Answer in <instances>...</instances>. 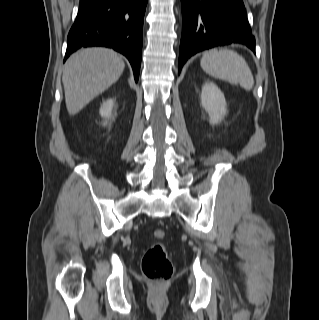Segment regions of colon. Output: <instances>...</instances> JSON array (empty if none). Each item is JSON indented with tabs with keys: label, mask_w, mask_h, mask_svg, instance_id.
I'll use <instances>...</instances> for the list:
<instances>
[{
	"label": "colon",
	"mask_w": 319,
	"mask_h": 320,
	"mask_svg": "<svg viewBox=\"0 0 319 320\" xmlns=\"http://www.w3.org/2000/svg\"><path fill=\"white\" fill-rule=\"evenodd\" d=\"M165 236V232L161 229L153 231V237L157 240H163ZM141 267L144 276L155 282L168 280L173 274V265L168 258L166 247L160 242L147 249Z\"/></svg>",
	"instance_id": "5ec220e1"
}]
</instances>
